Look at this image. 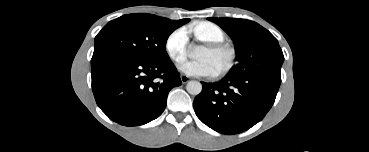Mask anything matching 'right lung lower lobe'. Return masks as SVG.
I'll list each match as a JSON object with an SVG mask.
<instances>
[{
    "label": "right lung lower lobe",
    "mask_w": 369,
    "mask_h": 152,
    "mask_svg": "<svg viewBox=\"0 0 369 152\" xmlns=\"http://www.w3.org/2000/svg\"><path fill=\"white\" fill-rule=\"evenodd\" d=\"M91 67L97 105L111 120L125 126L143 125L159 117L169 91L181 85L169 57L158 61L114 57Z\"/></svg>",
    "instance_id": "98d812e1"
}]
</instances>
